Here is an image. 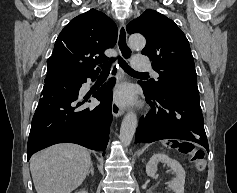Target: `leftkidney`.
Masks as SVG:
<instances>
[{"instance_id":"1","label":"left kidney","mask_w":237,"mask_h":193,"mask_svg":"<svg viewBox=\"0 0 237 193\" xmlns=\"http://www.w3.org/2000/svg\"><path fill=\"white\" fill-rule=\"evenodd\" d=\"M158 163L167 164L176 175L169 183L170 189L175 193H184L185 170L181 164L177 160L168 157L166 154H154L146 165V173L148 176L154 177L156 175Z\"/></svg>"}]
</instances>
